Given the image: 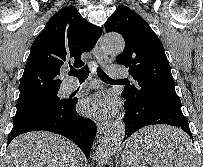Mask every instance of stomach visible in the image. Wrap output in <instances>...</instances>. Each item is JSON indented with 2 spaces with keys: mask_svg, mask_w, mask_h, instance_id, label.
Segmentation results:
<instances>
[{
  "mask_svg": "<svg viewBox=\"0 0 203 167\" xmlns=\"http://www.w3.org/2000/svg\"><path fill=\"white\" fill-rule=\"evenodd\" d=\"M132 152V148H129L127 147L125 152H124V157H123V160H122V167H130V154ZM151 153L153 154H158V149L157 148H154L151 150Z\"/></svg>",
  "mask_w": 203,
  "mask_h": 167,
  "instance_id": "0dacf381",
  "label": "stomach"
}]
</instances>
